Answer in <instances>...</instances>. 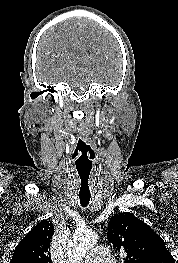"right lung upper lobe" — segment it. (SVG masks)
<instances>
[{
    "instance_id": "right-lung-upper-lobe-1",
    "label": "right lung upper lobe",
    "mask_w": 178,
    "mask_h": 263,
    "mask_svg": "<svg viewBox=\"0 0 178 263\" xmlns=\"http://www.w3.org/2000/svg\"><path fill=\"white\" fill-rule=\"evenodd\" d=\"M53 234L52 222H39L16 246L10 263H52L50 242Z\"/></svg>"
}]
</instances>
